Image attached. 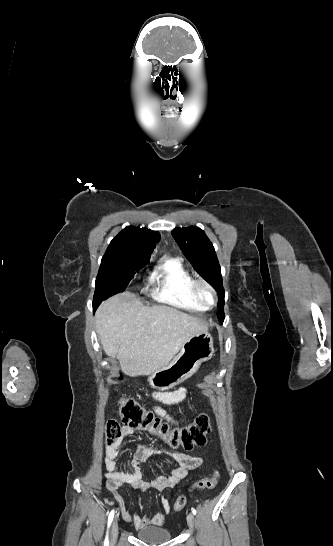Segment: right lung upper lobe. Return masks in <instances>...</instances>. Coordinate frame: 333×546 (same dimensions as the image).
Segmentation results:
<instances>
[{"instance_id":"cb5924a9","label":"right lung upper lobe","mask_w":333,"mask_h":546,"mask_svg":"<svg viewBox=\"0 0 333 546\" xmlns=\"http://www.w3.org/2000/svg\"><path fill=\"white\" fill-rule=\"evenodd\" d=\"M159 239L158 232L127 226L110 242L103 258L123 260L129 269L139 271L149 263Z\"/></svg>"}]
</instances>
